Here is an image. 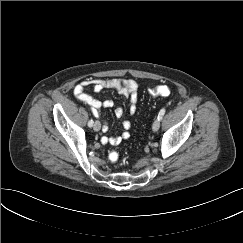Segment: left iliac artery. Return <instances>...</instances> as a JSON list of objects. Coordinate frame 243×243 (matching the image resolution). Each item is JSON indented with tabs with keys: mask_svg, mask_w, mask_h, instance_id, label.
<instances>
[{
	"mask_svg": "<svg viewBox=\"0 0 243 243\" xmlns=\"http://www.w3.org/2000/svg\"><path fill=\"white\" fill-rule=\"evenodd\" d=\"M165 112H166V109H165V108H162V109L160 110L159 114H158V119L161 120L162 117L164 116Z\"/></svg>",
	"mask_w": 243,
	"mask_h": 243,
	"instance_id": "1",
	"label": "left iliac artery"
}]
</instances>
